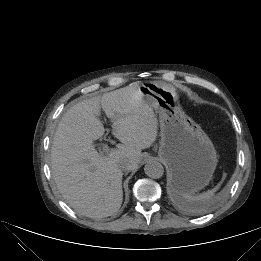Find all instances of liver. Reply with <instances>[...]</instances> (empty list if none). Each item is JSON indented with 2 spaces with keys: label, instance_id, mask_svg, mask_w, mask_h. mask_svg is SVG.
I'll return each mask as SVG.
<instances>
[{
  "label": "liver",
  "instance_id": "1",
  "mask_svg": "<svg viewBox=\"0 0 261 261\" xmlns=\"http://www.w3.org/2000/svg\"><path fill=\"white\" fill-rule=\"evenodd\" d=\"M140 84L83 100L67 110L58 124L51 148L52 176L63 198L82 215L106 217L119 210L121 163L135 169L142 149L151 147L157 138L156 110L144 99ZM101 108L112 122V134L121 142L106 156L93 146L105 132Z\"/></svg>",
  "mask_w": 261,
  "mask_h": 261
}]
</instances>
